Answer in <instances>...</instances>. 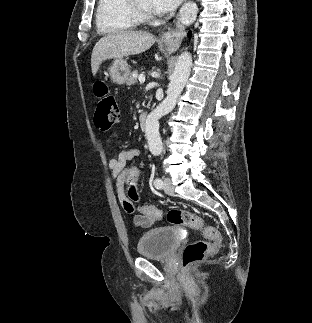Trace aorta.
I'll list each match as a JSON object with an SVG mask.
<instances>
[{
    "mask_svg": "<svg viewBox=\"0 0 312 323\" xmlns=\"http://www.w3.org/2000/svg\"><path fill=\"white\" fill-rule=\"evenodd\" d=\"M191 64V54L189 52H183L175 64V70L170 78L165 100L146 118L145 136L151 154H161L163 150V144L159 134V120L175 108L177 98L180 96L183 88H185V84L190 76Z\"/></svg>",
    "mask_w": 312,
    "mask_h": 323,
    "instance_id": "aorta-1",
    "label": "aorta"
}]
</instances>
